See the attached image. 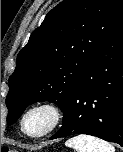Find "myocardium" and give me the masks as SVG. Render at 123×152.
Returning a JSON list of instances; mask_svg holds the SVG:
<instances>
[{
	"mask_svg": "<svg viewBox=\"0 0 123 152\" xmlns=\"http://www.w3.org/2000/svg\"><path fill=\"white\" fill-rule=\"evenodd\" d=\"M36 110H47L51 114V122L44 131L37 133V134H32L26 130L25 121H26V118L28 117V115ZM62 118H63V112L59 105H57L54 102H50V101L38 102V103L30 106L24 112V114L21 118V122H20L21 130L23 131L24 134H26L29 137L42 138V137H45V136L49 135L50 133H52L59 126V124L62 121Z\"/></svg>",
	"mask_w": 123,
	"mask_h": 152,
	"instance_id": "1",
	"label": "myocardium"
}]
</instances>
